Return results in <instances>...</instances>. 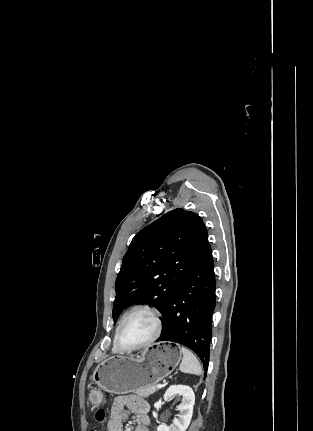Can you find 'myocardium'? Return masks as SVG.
Returning <instances> with one entry per match:
<instances>
[{
	"mask_svg": "<svg viewBox=\"0 0 313 431\" xmlns=\"http://www.w3.org/2000/svg\"><path fill=\"white\" fill-rule=\"evenodd\" d=\"M138 312H148L153 317V319L155 321L154 334L152 335V337L150 339H148L146 342H144L140 345H137L134 347H125L120 342V333H121L124 325L128 322V320L134 314H136ZM162 329H163V319H162L161 313L157 309H155L149 305L137 306V307L133 308L120 322V324H119V326L115 332L114 342H115V345L117 346V348L123 352H132V351L140 350V349L146 348V347L150 346L151 344H153L161 335Z\"/></svg>",
	"mask_w": 313,
	"mask_h": 431,
	"instance_id": "myocardium-1",
	"label": "myocardium"
}]
</instances>
